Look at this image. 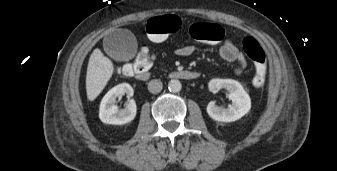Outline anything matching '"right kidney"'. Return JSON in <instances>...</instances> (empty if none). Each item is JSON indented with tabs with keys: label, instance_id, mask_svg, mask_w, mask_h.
<instances>
[{
	"label": "right kidney",
	"instance_id": "1",
	"mask_svg": "<svg viewBox=\"0 0 337 171\" xmlns=\"http://www.w3.org/2000/svg\"><path fill=\"white\" fill-rule=\"evenodd\" d=\"M127 94L133 95L132 87L127 83L119 84L110 89L100 103L99 118L105 124L122 125L131 122L137 112L134 100H130L124 109H119L115 104L117 97Z\"/></svg>",
	"mask_w": 337,
	"mask_h": 171
}]
</instances>
